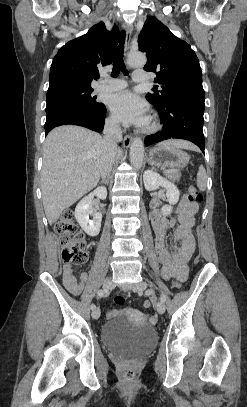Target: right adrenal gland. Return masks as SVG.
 Segmentation results:
<instances>
[{
	"label": "right adrenal gland",
	"instance_id": "obj_1",
	"mask_svg": "<svg viewBox=\"0 0 247 407\" xmlns=\"http://www.w3.org/2000/svg\"><path fill=\"white\" fill-rule=\"evenodd\" d=\"M101 183L108 185V184H109V178L103 179V180L101 181Z\"/></svg>",
	"mask_w": 247,
	"mask_h": 407
}]
</instances>
